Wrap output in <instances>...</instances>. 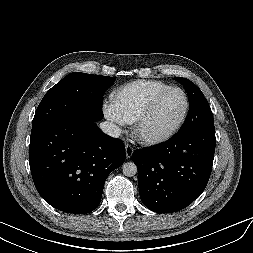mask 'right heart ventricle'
<instances>
[{
    "mask_svg": "<svg viewBox=\"0 0 253 253\" xmlns=\"http://www.w3.org/2000/svg\"><path fill=\"white\" fill-rule=\"evenodd\" d=\"M170 87L159 80H137L120 87L114 94L113 104L123 121L133 124L150 99Z\"/></svg>",
    "mask_w": 253,
    "mask_h": 253,
    "instance_id": "1",
    "label": "right heart ventricle"
}]
</instances>
